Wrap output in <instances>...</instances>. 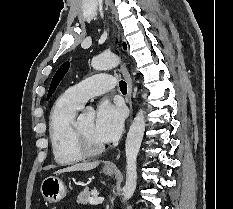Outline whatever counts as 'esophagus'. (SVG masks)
Returning <instances> with one entry per match:
<instances>
[{"mask_svg":"<svg viewBox=\"0 0 233 209\" xmlns=\"http://www.w3.org/2000/svg\"><path fill=\"white\" fill-rule=\"evenodd\" d=\"M121 71H122V73L127 81V87H128L127 102L129 104L130 112L132 114V80H131L130 74H129L125 64L121 65ZM106 167L116 168V165L114 162H108L106 164Z\"/></svg>","mask_w":233,"mask_h":209,"instance_id":"obj_1","label":"esophagus"}]
</instances>
